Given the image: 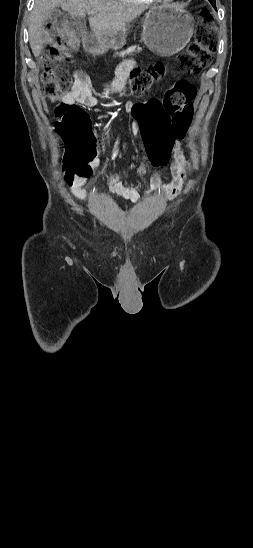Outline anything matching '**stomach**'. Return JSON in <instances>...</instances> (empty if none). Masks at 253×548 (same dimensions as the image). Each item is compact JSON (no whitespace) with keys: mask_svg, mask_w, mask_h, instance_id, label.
Returning <instances> with one entry per match:
<instances>
[{"mask_svg":"<svg viewBox=\"0 0 253 548\" xmlns=\"http://www.w3.org/2000/svg\"><path fill=\"white\" fill-rule=\"evenodd\" d=\"M193 26L192 16L184 9L176 5L155 6L145 14L142 39L154 53L171 56L190 41ZM125 44V35L117 38L95 36L88 50L93 54H103L109 49H121Z\"/></svg>","mask_w":253,"mask_h":548,"instance_id":"obj_1","label":"stomach"}]
</instances>
